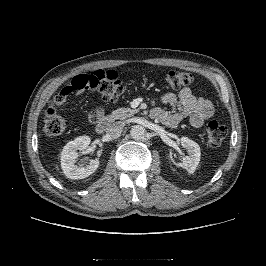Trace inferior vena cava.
Returning <instances> with one entry per match:
<instances>
[{"instance_id":"1","label":"inferior vena cava","mask_w":266,"mask_h":266,"mask_svg":"<svg viewBox=\"0 0 266 266\" xmlns=\"http://www.w3.org/2000/svg\"><path fill=\"white\" fill-rule=\"evenodd\" d=\"M123 127H124V123L121 121L112 123L107 129V136L110 139L119 138L122 133Z\"/></svg>"}]
</instances>
